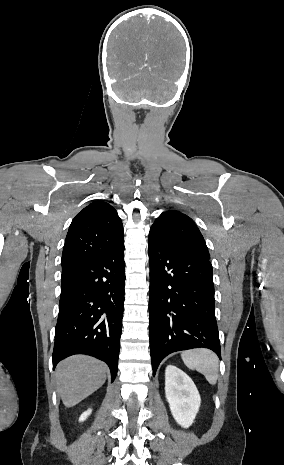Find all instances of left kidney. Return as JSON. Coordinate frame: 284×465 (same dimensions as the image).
Instances as JSON below:
<instances>
[{"label":"left kidney","mask_w":284,"mask_h":465,"mask_svg":"<svg viewBox=\"0 0 284 465\" xmlns=\"http://www.w3.org/2000/svg\"><path fill=\"white\" fill-rule=\"evenodd\" d=\"M165 395L176 423L188 429L194 423L201 403L192 379L181 369L168 365L165 371Z\"/></svg>","instance_id":"1"}]
</instances>
